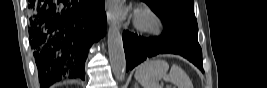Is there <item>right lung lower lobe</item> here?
Segmentation results:
<instances>
[{
  "label": "right lung lower lobe",
  "mask_w": 267,
  "mask_h": 88,
  "mask_svg": "<svg viewBox=\"0 0 267 88\" xmlns=\"http://www.w3.org/2000/svg\"><path fill=\"white\" fill-rule=\"evenodd\" d=\"M29 42L44 88L85 76L93 42L105 34V0H29Z\"/></svg>",
  "instance_id": "right-lung-lower-lobe-1"
}]
</instances>
